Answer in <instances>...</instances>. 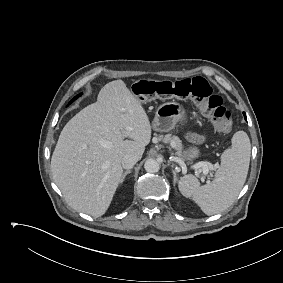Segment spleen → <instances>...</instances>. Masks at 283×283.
<instances>
[{
    "mask_svg": "<svg viewBox=\"0 0 283 283\" xmlns=\"http://www.w3.org/2000/svg\"><path fill=\"white\" fill-rule=\"evenodd\" d=\"M251 144L244 131L232 137V146L221 155V165L211 183L200 186L198 179L185 175L178 182L179 191L192 198L207 215H214L233 204L247 177Z\"/></svg>",
    "mask_w": 283,
    "mask_h": 283,
    "instance_id": "obj_1",
    "label": "spleen"
}]
</instances>
